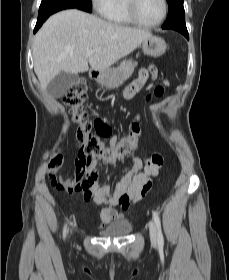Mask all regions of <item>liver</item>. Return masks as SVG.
Here are the masks:
<instances>
[{
  "instance_id": "1",
  "label": "liver",
  "mask_w": 229,
  "mask_h": 280,
  "mask_svg": "<svg viewBox=\"0 0 229 280\" xmlns=\"http://www.w3.org/2000/svg\"><path fill=\"white\" fill-rule=\"evenodd\" d=\"M152 37L147 30L121 26L77 9L51 16L33 44L34 70L42 90L60 73L102 72ZM96 50L91 56L85 53Z\"/></svg>"
}]
</instances>
